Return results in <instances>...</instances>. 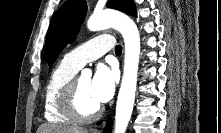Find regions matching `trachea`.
I'll return each instance as SVG.
<instances>
[{
    "label": "trachea",
    "mask_w": 221,
    "mask_h": 133,
    "mask_svg": "<svg viewBox=\"0 0 221 133\" xmlns=\"http://www.w3.org/2000/svg\"><path fill=\"white\" fill-rule=\"evenodd\" d=\"M115 53H116L117 55L121 54V53H122V46L117 45V46L115 47Z\"/></svg>",
    "instance_id": "trachea-1"
}]
</instances>
